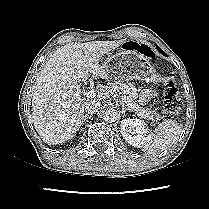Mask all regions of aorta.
Masks as SVG:
<instances>
[{
  "mask_svg": "<svg viewBox=\"0 0 209 209\" xmlns=\"http://www.w3.org/2000/svg\"><path fill=\"white\" fill-rule=\"evenodd\" d=\"M119 118V113L114 108H108L103 112V119L107 123H113L117 121Z\"/></svg>",
  "mask_w": 209,
  "mask_h": 209,
  "instance_id": "aorta-1",
  "label": "aorta"
}]
</instances>
